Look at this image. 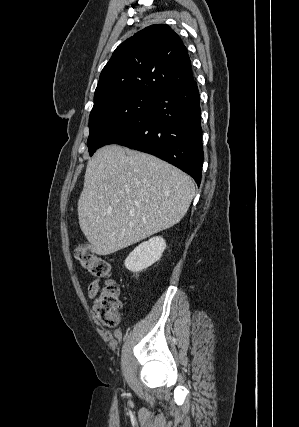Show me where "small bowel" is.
<instances>
[{"instance_id": "obj_1", "label": "small bowel", "mask_w": 299, "mask_h": 427, "mask_svg": "<svg viewBox=\"0 0 299 427\" xmlns=\"http://www.w3.org/2000/svg\"><path fill=\"white\" fill-rule=\"evenodd\" d=\"M99 292V279L92 280L88 285V296L94 299Z\"/></svg>"}]
</instances>
